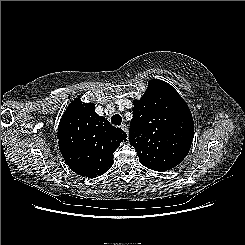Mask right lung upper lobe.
<instances>
[{"instance_id": "obj_1", "label": "right lung upper lobe", "mask_w": 245, "mask_h": 245, "mask_svg": "<svg viewBox=\"0 0 245 245\" xmlns=\"http://www.w3.org/2000/svg\"><path fill=\"white\" fill-rule=\"evenodd\" d=\"M127 134L95 112L93 103L72 101L58 126L60 152L75 173L95 178L112 166L113 153Z\"/></svg>"}]
</instances>
